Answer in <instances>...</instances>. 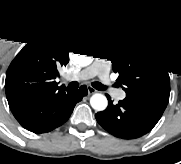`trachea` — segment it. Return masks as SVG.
<instances>
[{"label": "trachea", "instance_id": "3493384b", "mask_svg": "<svg viewBox=\"0 0 181 164\" xmlns=\"http://www.w3.org/2000/svg\"><path fill=\"white\" fill-rule=\"evenodd\" d=\"M92 86L95 88V89H98V90H104L105 87L99 83V82H92ZM68 87L69 88H78V82H70L68 84Z\"/></svg>", "mask_w": 181, "mask_h": 164}]
</instances>
